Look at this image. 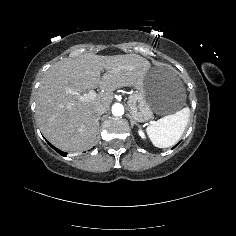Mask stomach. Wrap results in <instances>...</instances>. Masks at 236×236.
<instances>
[{"mask_svg":"<svg viewBox=\"0 0 236 236\" xmlns=\"http://www.w3.org/2000/svg\"><path fill=\"white\" fill-rule=\"evenodd\" d=\"M186 102L183 84L177 75L161 67L151 68L128 97L130 114L135 121L145 122L154 112L170 115L181 109Z\"/></svg>","mask_w":236,"mask_h":236,"instance_id":"stomach-1","label":"stomach"}]
</instances>
